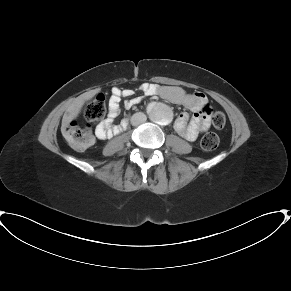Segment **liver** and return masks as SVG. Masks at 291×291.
Here are the masks:
<instances>
[{
    "label": "liver",
    "mask_w": 291,
    "mask_h": 291,
    "mask_svg": "<svg viewBox=\"0 0 291 291\" xmlns=\"http://www.w3.org/2000/svg\"><path fill=\"white\" fill-rule=\"evenodd\" d=\"M98 91L99 89L85 92L73 100V102L68 106L66 113L63 116L62 128L67 127L69 123L78 116L85 102L92 99L95 96V94L98 93Z\"/></svg>",
    "instance_id": "6515ba94"
}]
</instances>
